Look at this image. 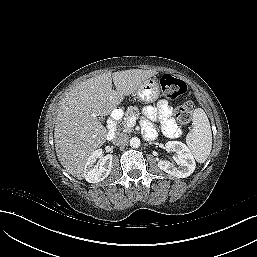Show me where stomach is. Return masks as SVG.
<instances>
[{
    "instance_id": "0dacf381",
    "label": "stomach",
    "mask_w": 257,
    "mask_h": 257,
    "mask_svg": "<svg viewBox=\"0 0 257 257\" xmlns=\"http://www.w3.org/2000/svg\"><path fill=\"white\" fill-rule=\"evenodd\" d=\"M136 95L144 103H153L160 95V85L156 79L149 78L138 86Z\"/></svg>"
}]
</instances>
